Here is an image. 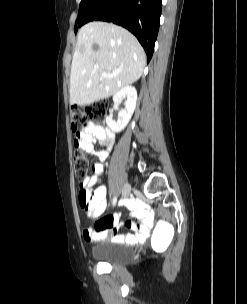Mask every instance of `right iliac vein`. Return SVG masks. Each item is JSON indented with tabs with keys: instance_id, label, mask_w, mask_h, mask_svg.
Listing matches in <instances>:
<instances>
[{
	"instance_id": "1",
	"label": "right iliac vein",
	"mask_w": 247,
	"mask_h": 304,
	"mask_svg": "<svg viewBox=\"0 0 247 304\" xmlns=\"http://www.w3.org/2000/svg\"><path fill=\"white\" fill-rule=\"evenodd\" d=\"M130 194H131V186L129 184H126L122 191L123 198H128Z\"/></svg>"
}]
</instances>
